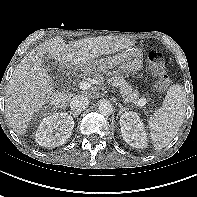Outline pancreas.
<instances>
[{
  "label": "pancreas",
  "mask_w": 197,
  "mask_h": 197,
  "mask_svg": "<svg viewBox=\"0 0 197 197\" xmlns=\"http://www.w3.org/2000/svg\"><path fill=\"white\" fill-rule=\"evenodd\" d=\"M94 79L96 81H102L103 76L97 73L94 75ZM108 82L111 83L113 86L119 87L120 93L125 102L135 103L139 100L138 91L133 90L132 87L125 81L122 76L115 74L108 79Z\"/></svg>",
  "instance_id": "1"
}]
</instances>
